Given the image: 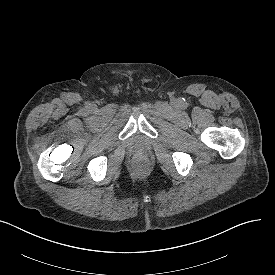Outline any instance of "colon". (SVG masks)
Segmentation results:
<instances>
[{"label": "colon", "mask_w": 275, "mask_h": 275, "mask_svg": "<svg viewBox=\"0 0 275 275\" xmlns=\"http://www.w3.org/2000/svg\"><path fill=\"white\" fill-rule=\"evenodd\" d=\"M135 171L139 174H144L147 171V164L142 159H137L134 164Z\"/></svg>", "instance_id": "5ec220e1"}]
</instances>
